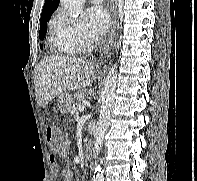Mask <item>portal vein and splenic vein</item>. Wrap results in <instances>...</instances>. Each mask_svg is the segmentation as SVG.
Masks as SVG:
<instances>
[{"label": "portal vein and splenic vein", "mask_w": 197, "mask_h": 181, "mask_svg": "<svg viewBox=\"0 0 197 181\" xmlns=\"http://www.w3.org/2000/svg\"><path fill=\"white\" fill-rule=\"evenodd\" d=\"M78 110H79L80 113H82V112H84V107L80 106Z\"/></svg>", "instance_id": "1"}]
</instances>
